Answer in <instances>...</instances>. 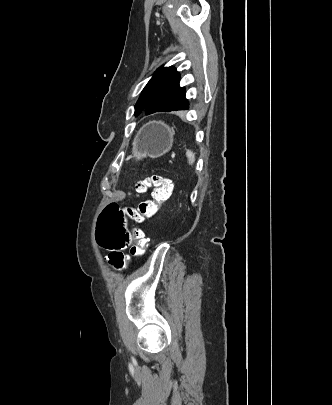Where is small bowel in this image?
Segmentation results:
<instances>
[{"instance_id":"small-bowel-1","label":"small bowel","mask_w":332,"mask_h":405,"mask_svg":"<svg viewBox=\"0 0 332 405\" xmlns=\"http://www.w3.org/2000/svg\"><path fill=\"white\" fill-rule=\"evenodd\" d=\"M121 252H122V250H120V253H119V254H122ZM114 255H116V254H109V257H110V262H111V258H112V256H114Z\"/></svg>"}]
</instances>
